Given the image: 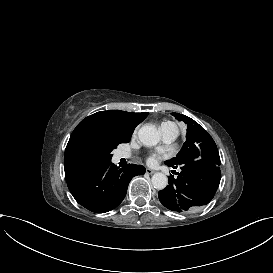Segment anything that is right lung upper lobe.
Wrapping results in <instances>:
<instances>
[{
	"instance_id": "obj_1",
	"label": "right lung upper lobe",
	"mask_w": 273,
	"mask_h": 273,
	"mask_svg": "<svg viewBox=\"0 0 273 273\" xmlns=\"http://www.w3.org/2000/svg\"><path fill=\"white\" fill-rule=\"evenodd\" d=\"M148 113H132L121 110L100 111L83 119L72 132L64 155L67 182L86 170L101 164L86 152L91 142L127 143L135 127Z\"/></svg>"
}]
</instances>
